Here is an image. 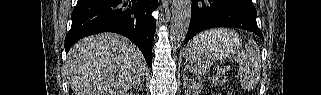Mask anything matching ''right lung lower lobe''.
Here are the masks:
<instances>
[{
  "label": "right lung lower lobe",
  "mask_w": 321,
  "mask_h": 95,
  "mask_svg": "<svg viewBox=\"0 0 321 95\" xmlns=\"http://www.w3.org/2000/svg\"><path fill=\"white\" fill-rule=\"evenodd\" d=\"M158 0H78L65 39L66 53L79 39L100 32H115L130 39L152 66L156 20L151 13Z\"/></svg>",
  "instance_id": "1"
}]
</instances>
